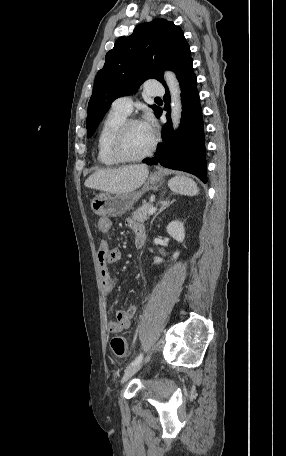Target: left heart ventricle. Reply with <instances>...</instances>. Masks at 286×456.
Listing matches in <instances>:
<instances>
[{"mask_svg":"<svg viewBox=\"0 0 286 456\" xmlns=\"http://www.w3.org/2000/svg\"><path fill=\"white\" fill-rule=\"evenodd\" d=\"M152 133L145 124H135L126 131L122 151L126 156L137 157L143 155L150 147Z\"/></svg>","mask_w":286,"mask_h":456,"instance_id":"b2bd125f","label":"left heart ventricle"}]
</instances>
